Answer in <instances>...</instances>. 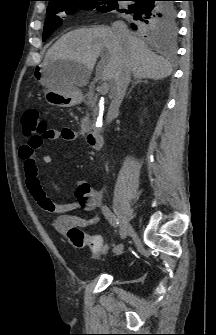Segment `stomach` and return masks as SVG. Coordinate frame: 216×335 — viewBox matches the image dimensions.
<instances>
[{
	"mask_svg": "<svg viewBox=\"0 0 216 335\" xmlns=\"http://www.w3.org/2000/svg\"><path fill=\"white\" fill-rule=\"evenodd\" d=\"M78 66L75 62L56 61L36 69L37 78L46 87L44 98L48 104L67 108L80 103L81 93L66 80L68 71Z\"/></svg>",
	"mask_w": 216,
	"mask_h": 335,
	"instance_id": "stomach-1",
	"label": "stomach"
}]
</instances>
